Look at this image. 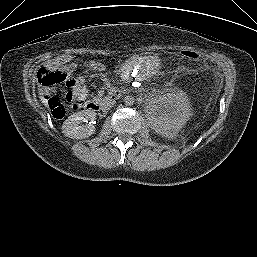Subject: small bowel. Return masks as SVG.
<instances>
[{"instance_id":"c3829d8e","label":"small bowel","mask_w":257,"mask_h":257,"mask_svg":"<svg viewBox=\"0 0 257 257\" xmlns=\"http://www.w3.org/2000/svg\"><path fill=\"white\" fill-rule=\"evenodd\" d=\"M54 64H56V63H54ZM97 68L99 70H103L104 65L103 64H98ZM74 69H75V64L74 63H70L62 69V71L64 72V74L66 76L65 82L67 83V85H71L73 83L78 82V79H76L73 75Z\"/></svg>"}]
</instances>
